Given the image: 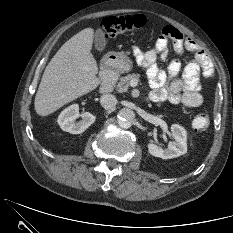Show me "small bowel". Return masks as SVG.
I'll list each match as a JSON object with an SVG mask.
<instances>
[{
    "label": "small bowel",
    "instance_id": "obj_1",
    "mask_svg": "<svg viewBox=\"0 0 233 233\" xmlns=\"http://www.w3.org/2000/svg\"><path fill=\"white\" fill-rule=\"evenodd\" d=\"M169 43H172L174 50L179 54L188 51L194 55L184 66L181 76V63L177 59L171 60L166 70L157 65L158 58H168ZM133 53L139 65L146 69L152 89V101H168L188 107L202 105L200 77L212 79L214 68L206 52L194 40L185 37L175 27L166 26L153 48L144 52L134 47Z\"/></svg>",
    "mask_w": 233,
    "mask_h": 233
}]
</instances>
